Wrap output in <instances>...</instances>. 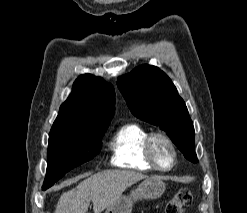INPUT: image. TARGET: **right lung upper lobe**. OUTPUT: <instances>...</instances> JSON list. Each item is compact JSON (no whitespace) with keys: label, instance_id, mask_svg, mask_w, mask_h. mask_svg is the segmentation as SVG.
<instances>
[{"label":"right lung upper lobe","instance_id":"right-lung-upper-lobe-1","mask_svg":"<svg viewBox=\"0 0 247 213\" xmlns=\"http://www.w3.org/2000/svg\"><path fill=\"white\" fill-rule=\"evenodd\" d=\"M115 111V92L100 77L84 74L73 84L52 129L89 130L109 124Z\"/></svg>","mask_w":247,"mask_h":213}]
</instances>
